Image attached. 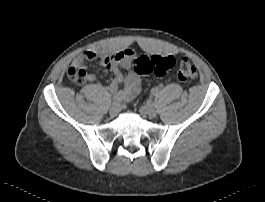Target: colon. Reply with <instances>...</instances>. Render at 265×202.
I'll return each instance as SVG.
<instances>
[{
  "instance_id": "colon-1",
  "label": "colon",
  "mask_w": 265,
  "mask_h": 202,
  "mask_svg": "<svg viewBox=\"0 0 265 202\" xmlns=\"http://www.w3.org/2000/svg\"><path fill=\"white\" fill-rule=\"evenodd\" d=\"M176 65V60L172 56L140 55L133 62L135 72L145 76L162 77ZM86 71L80 65H71L67 70L68 78L76 83L85 79ZM198 77L196 68L187 60L179 62L177 78L183 83H190Z\"/></svg>"
}]
</instances>
